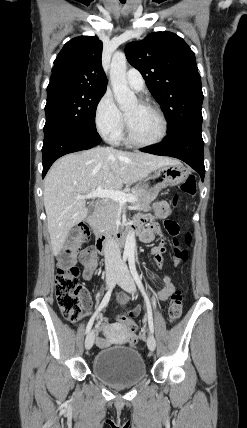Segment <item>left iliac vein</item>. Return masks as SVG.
Here are the masks:
<instances>
[{
	"label": "left iliac vein",
	"instance_id": "left-iliac-vein-1",
	"mask_svg": "<svg viewBox=\"0 0 247 428\" xmlns=\"http://www.w3.org/2000/svg\"><path fill=\"white\" fill-rule=\"evenodd\" d=\"M117 283L122 289H124L128 293H131L132 295L135 294L136 286L126 265L121 266L120 271L118 272V275H117ZM147 346L150 351L155 350L156 340L152 334L148 336Z\"/></svg>",
	"mask_w": 247,
	"mask_h": 428
}]
</instances>
